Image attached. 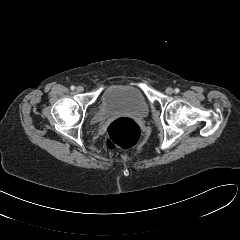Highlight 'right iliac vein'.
I'll list each match as a JSON object with an SVG mask.
<instances>
[{
    "instance_id": "63e3f726",
    "label": "right iliac vein",
    "mask_w": 240,
    "mask_h": 240,
    "mask_svg": "<svg viewBox=\"0 0 240 240\" xmlns=\"http://www.w3.org/2000/svg\"><path fill=\"white\" fill-rule=\"evenodd\" d=\"M76 91H77L78 93H81V92L84 91V88H83L82 86H78V87L76 88Z\"/></svg>"
}]
</instances>
